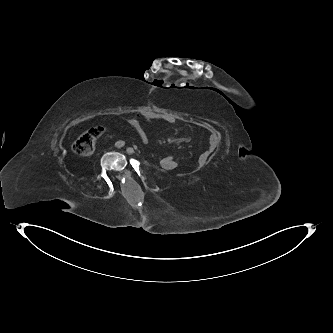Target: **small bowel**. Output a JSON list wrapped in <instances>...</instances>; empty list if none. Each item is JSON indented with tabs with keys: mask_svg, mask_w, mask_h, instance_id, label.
<instances>
[{
	"mask_svg": "<svg viewBox=\"0 0 333 333\" xmlns=\"http://www.w3.org/2000/svg\"><path fill=\"white\" fill-rule=\"evenodd\" d=\"M152 121H162L165 123H174L176 121V118L174 116L168 115V114H161L154 112L152 110L142 111L138 114H136L131 120L129 121L131 127L134 129V131L145 141L149 140V134L144 131L142 128V123H150ZM172 157V156H171ZM210 157V151H205L202 153L196 163L197 168H201L208 162ZM165 158V157H164ZM173 158V157H172ZM178 163L173 158V161L170 164H167L165 167H162L165 170H173L177 167Z\"/></svg>",
	"mask_w": 333,
	"mask_h": 333,
	"instance_id": "1",
	"label": "small bowel"
}]
</instances>
